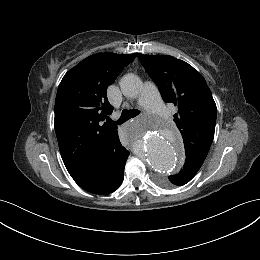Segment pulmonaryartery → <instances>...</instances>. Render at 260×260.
<instances>
[{"instance_id":"1","label":"pulmonary artery","mask_w":260,"mask_h":260,"mask_svg":"<svg viewBox=\"0 0 260 260\" xmlns=\"http://www.w3.org/2000/svg\"><path fill=\"white\" fill-rule=\"evenodd\" d=\"M139 102L148 112L168 117V112L160 100L156 86L153 83L145 82Z\"/></svg>"}]
</instances>
